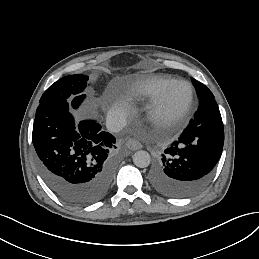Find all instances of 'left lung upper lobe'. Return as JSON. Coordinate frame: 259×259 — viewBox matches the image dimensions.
Here are the masks:
<instances>
[{
  "mask_svg": "<svg viewBox=\"0 0 259 259\" xmlns=\"http://www.w3.org/2000/svg\"><path fill=\"white\" fill-rule=\"evenodd\" d=\"M192 82L195 86V89L197 91V96L199 101H202L207 98H214V95L212 92L202 83L192 78Z\"/></svg>",
  "mask_w": 259,
  "mask_h": 259,
  "instance_id": "1",
  "label": "left lung upper lobe"
}]
</instances>
